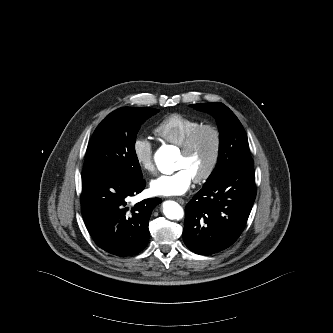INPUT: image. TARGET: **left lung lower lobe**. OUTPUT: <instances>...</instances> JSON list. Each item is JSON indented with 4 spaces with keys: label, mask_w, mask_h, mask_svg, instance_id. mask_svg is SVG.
<instances>
[{
    "label": "left lung lower lobe",
    "mask_w": 333,
    "mask_h": 333,
    "mask_svg": "<svg viewBox=\"0 0 333 333\" xmlns=\"http://www.w3.org/2000/svg\"><path fill=\"white\" fill-rule=\"evenodd\" d=\"M255 197L253 165L228 170L205 184L185 208L186 246L201 255L231 246L244 230Z\"/></svg>",
    "instance_id": "0a47b994"
}]
</instances>
